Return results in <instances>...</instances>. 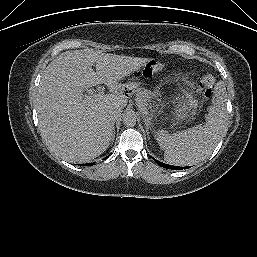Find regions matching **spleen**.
<instances>
[{"instance_id":"spleen-1","label":"spleen","mask_w":257,"mask_h":257,"mask_svg":"<svg viewBox=\"0 0 257 257\" xmlns=\"http://www.w3.org/2000/svg\"><path fill=\"white\" fill-rule=\"evenodd\" d=\"M212 103L204 125L173 134L163 129L156 133L167 163L193 165L211 155L227 130L226 92L222 83L216 86Z\"/></svg>"}]
</instances>
